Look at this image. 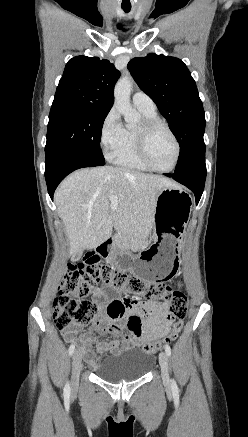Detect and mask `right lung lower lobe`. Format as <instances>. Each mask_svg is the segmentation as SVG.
Returning a JSON list of instances; mask_svg holds the SVG:
<instances>
[{
  "mask_svg": "<svg viewBox=\"0 0 248 437\" xmlns=\"http://www.w3.org/2000/svg\"><path fill=\"white\" fill-rule=\"evenodd\" d=\"M104 160L77 150L63 149L46 155L45 179L48 193L53 194L58 184L71 172L79 168L104 165Z\"/></svg>",
  "mask_w": 248,
  "mask_h": 437,
  "instance_id": "98d812e1",
  "label": "right lung lower lobe"
}]
</instances>
